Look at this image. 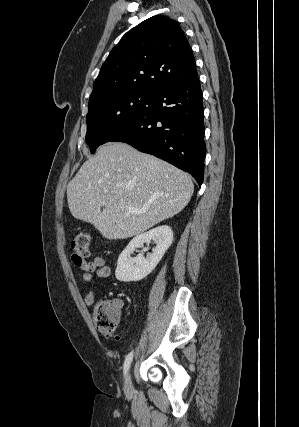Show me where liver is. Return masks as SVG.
<instances>
[{"mask_svg": "<svg viewBox=\"0 0 299 427\" xmlns=\"http://www.w3.org/2000/svg\"><path fill=\"white\" fill-rule=\"evenodd\" d=\"M193 192L185 172L126 143L109 142L68 183L67 201L74 218L116 240L178 214Z\"/></svg>", "mask_w": 299, "mask_h": 427, "instance_id": "6515ba94", "label": "liver"}]
</instances>
